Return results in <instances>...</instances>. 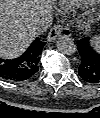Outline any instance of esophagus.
<instances>
[{"label": "esophagus", "mask_w": 100, "mask_h": 118, "mask_svg": "<svg viewBox=\"0 0 100 118\" xmlns=\"http://www.w3.org/2000/svg\"><path fill=\"white\" fill-rule=\"evenodd\" d=\"M71 31L68 27H64L62 25H55L50 32L48 33L47 39L48 41H55L56 39L63 36H70Z\"/></svg>", "instance_id": "34e87169"}]
</instances>
